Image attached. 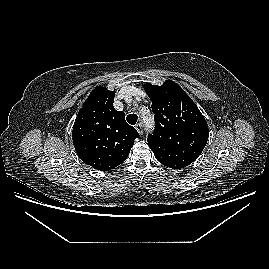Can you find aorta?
<instances>
[{"instance_id": "1", "label": "aorta", "mask_w": 269, "mask_h": 269, "mask_svg": "<svg viewBox=\"0 0 269 269\" xmlns=\"http://www.w3.org/2000/svg\"><path fill=\"white\" fill-rule=\"evenodd\" d=\"M145 120H146V126H149V124L153 122L152 119L150 118L149 119L146 118Z\"/></svg>"}]
</instances>
